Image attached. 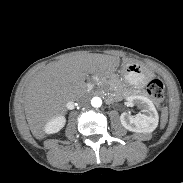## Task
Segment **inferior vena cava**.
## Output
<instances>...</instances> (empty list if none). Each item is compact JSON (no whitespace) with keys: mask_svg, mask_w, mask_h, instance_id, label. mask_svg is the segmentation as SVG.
Here are the masks:
<instances>
[{"mask_svg":"<svg viewBox=\"0 0 183 183\" xmlns=\"http://www.w3.org/2000/svg\"><path fill=\"white\" fill-rule=\"evenodd\" d=\"M77 101L81 105H87L89 103V98L87 96H80Z\"/></svg>","mask_w":183,"mask_h":183,"instance_id":"602c4592","label":"inferior vena cava"}]
</instances>
